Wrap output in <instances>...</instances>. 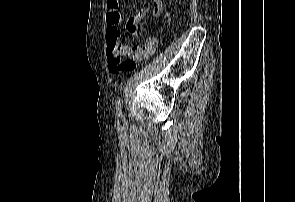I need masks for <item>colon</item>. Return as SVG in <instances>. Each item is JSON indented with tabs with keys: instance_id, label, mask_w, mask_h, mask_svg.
I'll return each instance as SVG.
<instances>
[{
	"instance_id": "obj_1",
	"label": "colon",
	"mask_w": 295,
	"mask_h": 202,
	"mask_svg": "<svg viewBox=\"0 0 295 202\" xmlns=\"http://www.w3.org/2000/svg\"><path fill=\"white\" fill-rule=\"evenodd\" d=\"M136 31V27L130 23V21L126 24L125 29H122L118 26V24L112 23L109 24V28L107 31V42L108 47H121L124 43V33L127 32L129 34H133ZM119 60V58H117Z\"/></svg>"
}]
</instances>
